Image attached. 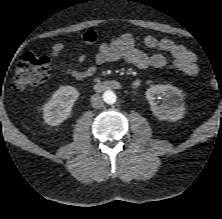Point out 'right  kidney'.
<instances>
[{"mask_svg": "<svg viewBox=\"0 0 222 219\" xmlns=\"http://www.w3.org/2000/svg\"><path fill=\"white\" fill-rule=\"evenodd\" d=\"M79 97V92L72 86H62L56 90L43 106L44 122L50 126H58L66 120L70 114L72 107Z\"/></svg>", "mask_w": 222, "mask_h": 219, "instance_id": "1", "label": "right kidney"}]
</instances>
